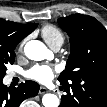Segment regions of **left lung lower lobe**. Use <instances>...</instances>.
<instances>
[{"label": "left lung lower lobe", "mask_w": 107, "mask_h": 107, "mask_svg": "<svg viewBox=\"0 0 107 107\" xmlns=\"http://www.w3.org/2000/svg\"><path fill=\"white\" fill-rule=\"evenodd\" d=\"M79 107H107V83L82 84ZM65 89V88H64ZM66 95L61 97L59 107H72L74 98L72 92L65 89Z\"/></svg>", "instance_id": "obj_1"}]
</instances>
